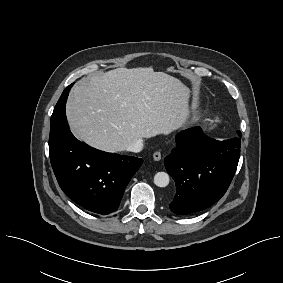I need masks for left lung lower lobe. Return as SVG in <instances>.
<instances>
[{"label": "left lung lower lobe", "instance_id": "obj_1", "mask_svg": "<svg viewBox=\"0 0 283 283\" xmlns=\"http://www.w3.org/2000/svg\"><path fill=\"white\" fill-rule=\"evenodd\" d=\"M177 147L165 159V167L176 183L170 203L175 214L202 211L227 191L240 157V138L218 141L194 127L176 136Z\"/></svg>", "mask_w": 283, "mask_h": 283}]
</instances>
